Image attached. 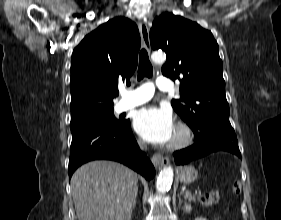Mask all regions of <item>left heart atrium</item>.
<instances>
[{
	"instance_id": "1",
	"label": "left heart atrium",
	"mask_w": 281,
	"mask_h": 220,
	"mask_svg": "<svg viewBox=\"0 0 281 220\" xmlns=\"http://www.w3.org/2000/svg\"><path fill=\"white\" fill-rule=\"evenodd\" d=\"M135 131L147 142L154 144L169 143L175 125L171 112L166 108L144 107L135 113Z\"/></svg>"
}]
</instances>
